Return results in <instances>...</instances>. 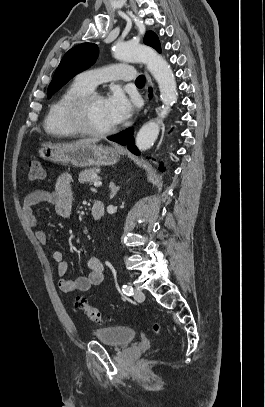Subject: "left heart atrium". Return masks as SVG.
Masks as SVG:
<instances>
[{"instance_id":"obj_1","label":"left heart atrium","mask_w":265,"mask_h":407,"mask_svg":"<svg viewBox=\"0 0 265 407\" xmlns=\"http://www.w3.org/2000/svg\"><path fill=\"white\" fill-rule=\"evenodd\" d=\"M105 106L114 125L126 121L133 113V103L122 92L115 91L105 99Z\"/></svg>"}]
</instances>
